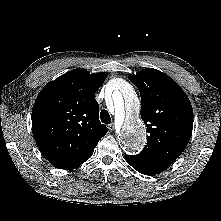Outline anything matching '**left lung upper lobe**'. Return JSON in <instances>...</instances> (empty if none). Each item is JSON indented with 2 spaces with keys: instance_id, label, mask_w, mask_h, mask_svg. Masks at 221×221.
Returning a JSON list of instances; mask_svg holds the SVG:
<instances>
[{
  "instance_id": "obj_1",
  "label": "left lung upper lobe",
  "mask_w": 221,
  "mask_h": 221,
  "mask_svg": "<svg viewBox=\"0 0 221 221\" xmlns=\"http://www.w3.org/2000/svg\"><path fill=\"white\" fill-rule=\"evenodd\" d=\"M128 79L141 95V118L149 133L138 155L171 165L186 148L193 128L191 103L168 75L146 68Z\"/></svg>"
}]
</instances>
